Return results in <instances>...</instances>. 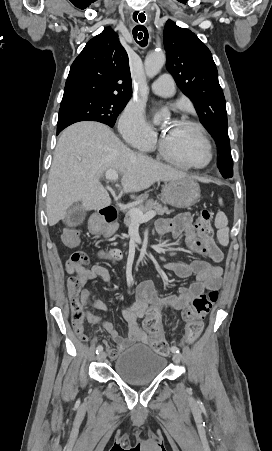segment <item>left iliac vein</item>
<instances>
[{
	"label": "left iliac vein",
	"instance_id": "obj_1",
	"mask_svg": "<svg viewBox=\"0 0 272 451\" xmlns=\"http://www.w3.org/2000/svg\"><path fill=\"white\" fill-rule=\"evenodd\" d=\"M173 360H174V362H176V363H180V356H179V354H175V355L173 356Z\"/></svg>",
	"mask_w": 272,
	"mask_h": 451
}]
</instances>
